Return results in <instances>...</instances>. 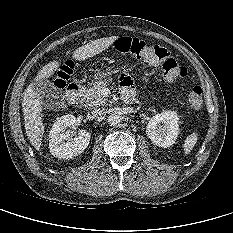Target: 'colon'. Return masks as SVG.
Segmentation results:
<instances>
[{
  "label": "colon",
  "mask_w": 233,
  "mask_h": 233,
  "mask_svg": "<svg viewBox=\"0 0 233 233\" xmlns=\"http://www.w3.org/2000/svg\"><path fill=\"white\" fill-rule=\"evenodd\" d=\"M116 48L123 54L159 63L163 78L167 81L173 82L187 75V69L179 64L165 47L160 45L148 44L137 38L123 37L116 42ZM72 68L73 66L70 63H66L61 68L57 79L59 86L62 87L66 84L72 73ZM188 101L195 110L202 107L203 89L200 83H195L192 86L188 95Z\"/></svg>",
  "instance_id": "obj_1"
}]
</instances>
